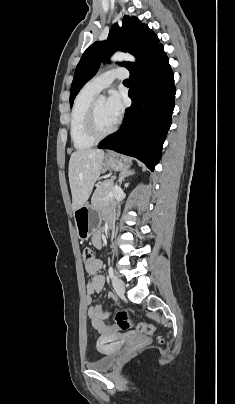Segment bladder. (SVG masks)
Masks as SVG:
<instances>
[{
    "label": "bladder",
    "mask_w": 235,
    "mask_h": 404,
    "mask_svg": "<svg viewBox=\"0 0 235 404\" xmlns=\"http://www.w3.org/2000/svg\"><path fill=\"white\" fill-rule=\"evenodd\" d=\"M97 349L101 354H103V356L93 362H88L86 366L92 370L99 372L111 370L118 359L119 351L115 350L110 352L105 350L100 345L97 347Z\"/></svg>",
    "instance_id": "1"
}]
</instances>
